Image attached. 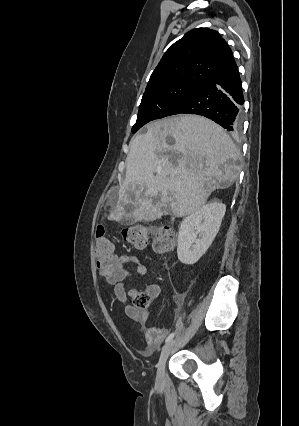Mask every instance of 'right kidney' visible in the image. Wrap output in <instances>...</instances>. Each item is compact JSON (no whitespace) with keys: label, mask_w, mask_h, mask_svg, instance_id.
<instances>
[{"label":"right kidney","mask_w":299,"mask_h":426,"mask_svg":"<svg viewBox=\"0 0 299 426\" xmlns=\"http://www.w3.org/2000/svg\"><path fill=\"white\" fill-rule=\"evenodd\" d=\"M225 211V204L213 201L182 221L177 240L181 263L192 265L205 254L220 229Z\"/></svg>","instance_id":"1"}]
</instances>
